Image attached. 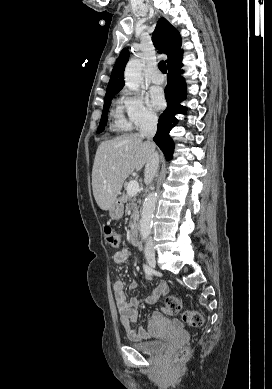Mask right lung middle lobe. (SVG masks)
I'll return each instance as SVG.
<instances>
[{
  "label": "right lung middle lobe",
  "instance_id": "right-lung-middle-lobe-1",
  "mask_svg": "<svg viewBox=\"0 0 272 389\" xmlns=\"http://www.w3.org/2000/svg\"><path fill=\"white\" fill-rule=\"evenodd\" d=\"M114 94L115 93H112V94L105 97L102 117H101V121H100L98 130H97V133H100L104 130V127L107 123V113H108V109L110 107L111 98L114 96Z\"/></svg>",
  "mask_w": 272,
  "mask_h": 389
}]
</instances>
